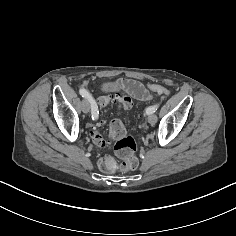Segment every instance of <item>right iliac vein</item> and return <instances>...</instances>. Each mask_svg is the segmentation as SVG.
Returning a JSON list of instances; mask_svg holds the SVG:
<instances>
[{
  "label": "right iliac vein",
  "mask_w": 236,
  "mask_h": 236,
  "mask_svg": "<svg viewBox=\"0 0 236 236\" xmlns=\"http://www.w3.org/2000/svg\"><path fill=\"white\" fill-rule=\"evenodd\" d=\"M80 107L84 113H88L90 111L89 101L87 99L82 100Z\"/></svg>",
  "instance_id": "1"
}]
</instances>
